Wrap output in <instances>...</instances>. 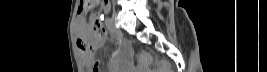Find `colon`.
I'll return each instance as SVG.
<instances>
[{
    "instance_id": "5ec220e1",
    "label": "colon",
    "mask_w": 267,
    "mask_h": 72,
    "mask_svg": "<svg viewBox=\"0 0 267 72\" xmlns=\"http://www.w3.org/2000/svg\"><path fill=\"white\" fill-rule=\"evenodd\" d=\"M108 1L105 0H81L80 9L82 12L90 15V27L95 32L98 38H103L105 36V31L100 25V5L105 4ZM90 47L88 41L84 40L82 42L81 48L86 50ZM97 70V65L95 66ZM160 72H169L170 69L167 64H163L160 67Z\"/></svg>"
}]
</instances>
